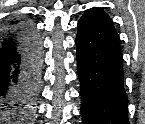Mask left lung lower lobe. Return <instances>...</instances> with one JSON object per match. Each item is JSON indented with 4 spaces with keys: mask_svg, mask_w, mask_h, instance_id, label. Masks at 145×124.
I'll return each instance as SVG.
<instances>
[{
    "mask_svg": "<svg viewBox=\"0 0 145 124\" xmlns=\"http://www.w3.org/2000/svg\"><path fill=\"white\" fill-rule=\"evenodd\" d=\"M83 124H129L122 51L110 17L87 10L76 37Z\"/></svg>",
    "mask_w": 145,
    "mask_h": 124,
    "instance_id": "1",
    "label": "left lung lower lobe"
}]
</instances>
